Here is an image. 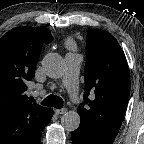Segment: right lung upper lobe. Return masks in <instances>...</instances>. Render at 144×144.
Listing matches in <instances>:
<instances>
[{
	"label": "right lung upper lobe",
	"instance_id": "cb5924a9",
	"mask_svg": "<svg viewBox=\"0 0 144 144\" xmlns=\"http://www.w3.org/2000/svg\"><path fill=\"white\" fill-rule=\"evenodd\" d=\"M53 37L46 27H17L0 39V144H31L53 110L28 101L43 43Z\"/></svg>",
	"mask_w": 144,
	"mask_h": 144
}]
</instances>
